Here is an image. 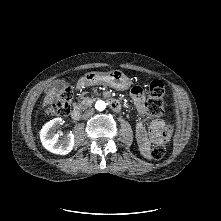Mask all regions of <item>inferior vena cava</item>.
I'll list each match as a JSON object with an SVG mask.
<instances>
[{
    "label": "inferior vena cava",
    "instance_id": "602c4592",
    "mask_svg": "<svg viewBox=\"0 0 221 221\" xmlns=\"http://www.w3.org/2000/svg\"><path fill=\"white\" fill-rule=\"evenodd\" d=\"M93 114H94V109L90 108L84 112L83 117L88 118V117L92 116Z\"/></svg>",
    "mask_w": 221,
    "mask_h": 221
}]
</instances>
